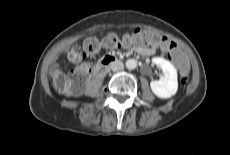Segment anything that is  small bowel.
I'll use <instances>...</instances> for the list:
<instances>
[{"instance_id": "small-bowel-1", "label": "small bowel", "mask_w": 230, "mask_h": 155, "mask_svg": "<svg viewBox=\"0 0 230 155\" xmlns=\"http://www.w3.org/2000/svg\"><path fill=\"white\" fill-rule=\"evenodd\" d=\"M136 50L142 55H150L154 52L155 49L154 47L137 46ZM162 50L165 51L163 48ZM185 66L187 67L186 61H185Z\"/></svg>"}]
</instances>
